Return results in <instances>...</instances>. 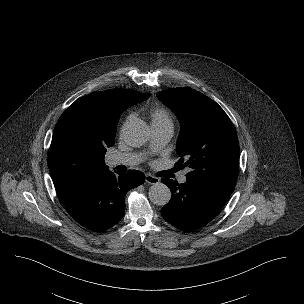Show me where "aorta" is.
<instances>
[{"label": "aorta", "instance_id": "1", "mask_svg": "<svg viewBox=\"0 0 304 304\" xmlns=\"http://www.w3.org/2000/svg\"><path fill=\"white\" fill-rule=\"evenodd\" d=\"M149 133V127L139 120L128 122L122 131L124 141L132 147L145 144ZM149 199L155 205L164 206L171 199V191L165 184L156 182L149 189Z\"/></svg>", "mask_w": 304, "mask_h": 304}]
</instances>
